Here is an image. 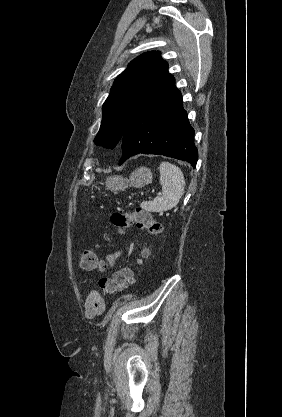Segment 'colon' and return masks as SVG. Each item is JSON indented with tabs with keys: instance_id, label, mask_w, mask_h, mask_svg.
Segmentation results:
<instances>
[{
	"instance_id": "5ec220e1",
	"label": "colon",
	"mask_w": 282,
	"mask_h": 417,
	"mask_svg": "<svg viewBox=\"0 0 282 417\" xmlns=\"http://www.w3.org/2000/svg\"><path fill=\"white\" fill-rule=\"evenodd\" d=\"M111 223L118 230H125L131 226H137L145 230L151 236H157L162 232L161 225L146 210L136 208L133 210H117L111 215ZM149 254V249L144 246L135 260L133 266L121 267L112 277L102 278L99 282L102 298L100 307L103 305L104 298L116 295L121 290L127 288L133 281L134 267L141 266L144 258ZM79 265L87 271L101 269L104 263L92 252L84 250L79 254Z\"/></svg>"
}]
</instances>
